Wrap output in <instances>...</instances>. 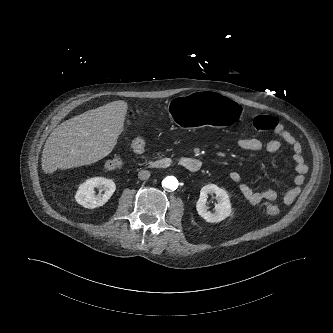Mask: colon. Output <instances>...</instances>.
<instances>
[{
  "mask_svg": "<svg viewBox=\"0 0 333 333\" xmlns=\"http://www.w3.org/2000/svg\"><path fill=\"white\" fill-rule=\"evenodd\" d=\"M277 120L269 115H258L252 120V126L258 133H263L275 128ZM123 161L120 157L113 156L104 162V168L108 171L119 170ZM279 213V206L276 203L267 204L264 208V214L267 216H276Z\"/></svg>",
  "mask_w": 333,
  "mask_h": 333,
  "instance_id": "colon-1",
  "label": "colon"
}]
</instances>
